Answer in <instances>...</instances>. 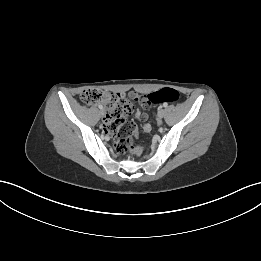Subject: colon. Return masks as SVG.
<instances>
[{
  "label": "colon",
  "instance_id": "1",
  "mask_svg": "<svg viewBox=\"0 0 261 261\" xmlns=\"http://www.w3.org/2000/svg\"><path fill=\"white\" fill-rule=\"evenodd\" d=\"M147 98L151 103L163 101L175 103L180 99V94L175 89L164 88L147 95ZM81 99L87 105L104 103L106 106L104 127L113 135L119 152L137 153L139 151L133 144L136 126L127 118L133 110V106L127 98L119 93H108L100 89L89 88L82 93Z\"/></svg>",
  "mask_w": 261,
  "mask_h": 261
}]
</instances>
